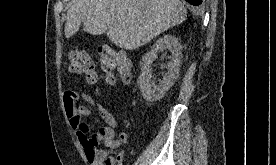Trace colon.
Returning <instances> with one entry per match:
<instances>
[{"instance_id": "obj_1", "label": "colon", "mask_w": 276, "mask_h": 165, "mask_svg": "<svg viewBox=\"0 0 276 165\" xmlns=\"http://www.w3.org/2000/svg\"><path fill=\"white\" fill-rule=\"evenodd\" d=\"M99 62L106 73L109 84L115 82V74H118L125 82L130 80V63L126 55L110 46H102L99 49ZM70 71L83 76L87 82L95 83L97 74L91 56L80 50L71 51L69 54ZM83 128L85 129L84 125Z\"/></svg>"}]
</instances>
